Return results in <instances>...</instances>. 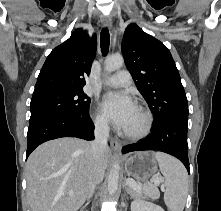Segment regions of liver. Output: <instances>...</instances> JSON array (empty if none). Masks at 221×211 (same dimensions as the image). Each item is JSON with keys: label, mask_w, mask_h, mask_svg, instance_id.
Here are the masks:
<instances>
[{"label": "liver", "mask_w": 221, "mask_h": 211, "mask_svg": "<svg viewBox=\"0 0 221 211\" xmlns=\"http://www.w3.org/2000/svg\"><path fill=\"white\" fill-rule=\"evenodd\" d=\"M107 148L101 163L106 169ZM91 144L77 138H58L38 146L26 164L31 211H77L86 201L93 178Z\"/></svg>", "instance_id": "1"}]
</instances>
